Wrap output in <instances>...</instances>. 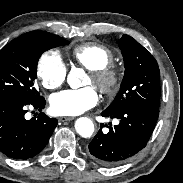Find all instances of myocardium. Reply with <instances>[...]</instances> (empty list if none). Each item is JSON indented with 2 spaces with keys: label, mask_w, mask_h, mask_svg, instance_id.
I'll list each match as a JSON object with an SVG mask.
<instances>
[{
  "label": "myocardium",
  "mask_w": 183,
  "mask_h": 183,
  "mask_svg": "<svg viewBox=\"0 0 183 183\" xmlns=\"http://www.w3.org/2000/svg\"><path fill=\"white\" fill-rule=\"evenodd\" d=\"M92 83L103 93L112 94L120 85L122 71L115 65H107L90 71Z\"/></svg>",
  "instance_id": "f54148a6"
}]
</instances>
